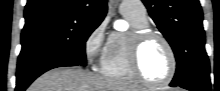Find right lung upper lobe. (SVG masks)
<instances>
[{"label": "right lung upper lobe", "mask_w": 220, "mask_h": 91, "mask_svg": "<svg viewBox=\"0 0 220 91\" xmlns=\"http://www.w3.org/2000/svg\"><path fill=\"white\" fill-rule=\"evenodd\" d=\"M107 13L106 0H28L26 24L56 17H72L102 22Z\"/></svg>", "instance_id": "obj_1"}]
</instances>
